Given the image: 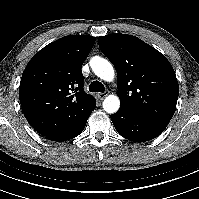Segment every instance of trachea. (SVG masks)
<instances>
[{
	"label": "trachea",
	"instance_id": "obj_1",
	"mask_svg": "<svg viewBox=\"0 0 199 199\" xmlns=\"http://www.w3.org/2000/svg\"><path fill=\"white\" fill-rule=\"evenodd\" d=\"M89 90H90V92H101V93H103L105 91V88H104V85L101 82L93 81L89 85Z\"/></svg>",
	"mask_w": 199,
	"mask_h": 199
}]
</instances>
